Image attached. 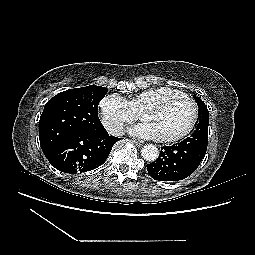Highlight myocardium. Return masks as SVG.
Wrapping results in <instances>:
<instances>
[{"label":"myocardium","instance_id":"1","mask_svg":"<svg viewBox=\"0 0 255 255\" xmlns=\"http://www.w3.org/2000/svg\"><path fill=\"white\" fill-rule=\"evenodd\" d=\"M173 98H181L184 101H186L187 103L190 104L191 108H192V118L190 123L188 124V126L183 129L182 131L173 134V135H169V136H162V137H156V140L158 142H163V143H169V142H174L177 141L179 139H182L183 137L187 136L195 127L198 118H199V107L196 103V101L190 97L188 94L182 92V91H178V90H174L170 93L164 94L160 97H158L155 101L151 102L150 104L146 105L139 113V117L142 119V113L146 110L149 109H153V108H157L160 105H162L164 102L173 99Z\"/></svg>","mask_w":255,"mask_h":255}]
</instances>
